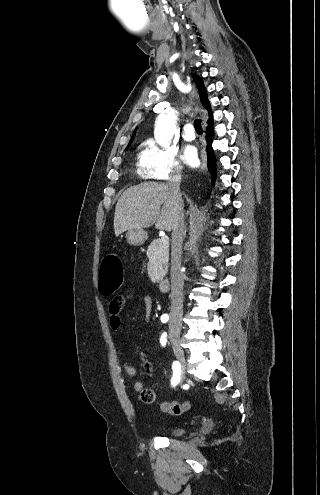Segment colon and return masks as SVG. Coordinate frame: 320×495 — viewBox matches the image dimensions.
Listing matches in <instances>:
<instances>
[{"mask_svg": "<svg viewBox=\"0 0 320 495\" xmlns=\"http://www.w3.org/2000/svg\"><path fill=\"white\" fill-rule=\"evenodd\" d=\"M124 279V270L121 259L116 254L106 255L99 269V288L105 294L113 293L119 288ZM140 399L145 404H151L156 399V394L153 389L145 388L140 392ZM191 405L188 402H163L161 404L162 411L180 416L190 409Z\"/></svg>", "mask_w": 320, "mask_h": 495, "instance_id": "5ec220e1", "label": "colon"}]
</instances>
